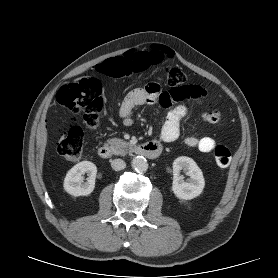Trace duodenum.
<instances>
[{"mask_svg": "<svg viewBox=\"0 0 278 278\" xmlns=\"http://www.w3.org/2000/svg\"><path fill=\"white\" fill-rule=\"evenodd\" d=\"M132 155H142L149 159H156L162 153V146L157 142H145L132 145L129 148ZM98 155L107 159L114 155V149L108 145H103L98 149Z\"/></svg>", "mask_w": 278, "mask_h": 278, "instance_id": "1", "label": "duodenum"}]
</instances>
